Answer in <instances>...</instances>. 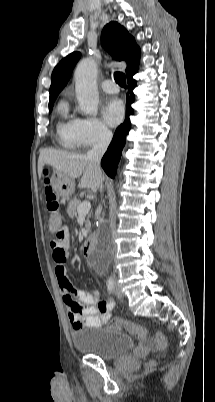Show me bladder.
Listing matches in <instances>:
<instances>
[{
	"instance_id": "31cf9c89",
	"label": "bladder",
	"mask_w": 215,
	"mask_h": 402,
	"mask_svg": "<svg viewBox=\"0 0 215 402\" xmlns=\"http://www.w3.org/2000/svg\"><path fill=\"white\" fill-rule=\"evenodd\" d=\"M75 349L83 354L102 360L118 358L133 348L132 338L116 329L93 327L74 331L71 334Z\"/></svg>"
}]
</instances>
